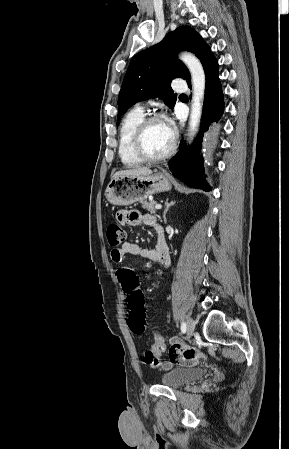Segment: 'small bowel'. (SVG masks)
Segmentation results:
<instances>
[{
    "mask_svg": "<svg viewBox=\"0 0 289 449\" xmlns=\"http://www.w3.org/2000/svg\"><path fill=\"white\" fill-rule=\"evenodd\" d=\"M117 218L124 225L137 226L142 223L150 225L156 229L158 238L153 249L143 248L136 243H123L120 247L111 251L110 257L113 262L121 263L126 255H136L159 263L164 267L170 265L169 249L162 229L153 217L142 215L136 210H121L118 212ZM169 342L165 345V348L169 350L167 355L170 360L163 363L160 361L158 365L163 370H169L176 364L183 369H195L198 362L205 361L207 363L210 359L208 354H203L197 347L184 346L182 337L173 336L169 339Z\"/></svg>",
    "mask_w": 289,
    "mask_h": 449,
    "instance_id": "1",
    "label": "small bowel"
}]
</instances>
